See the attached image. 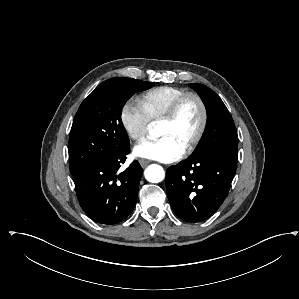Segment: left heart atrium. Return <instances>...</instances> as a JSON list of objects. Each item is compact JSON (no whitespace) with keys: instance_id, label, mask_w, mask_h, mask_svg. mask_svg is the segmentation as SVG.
Wrapping results in <instances>:
<instances>
[{"instance_id":"obj_1","label":"left heart atrium","mask_w":299,"mask_h":299,"mask_svg":"<svg viewBox=\"0 0 299 299\" xmlns=\"http://www.w3.org/2000/svg\"><path fill=\"white\" fill-rule=\"evenodd\" d=\"M133 154L140 158L173 162L182 157L184 148L170 137H161L140 142L134 147Z\"/></svg>"}]
</instances>
